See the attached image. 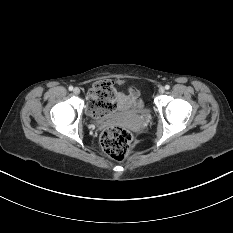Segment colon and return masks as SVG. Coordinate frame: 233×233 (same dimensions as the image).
Here are the masks:
<instances>
[{
  "label": "colon",
  "mask_w": 233,
  "mask_h": 233,
  "mask_svg": "<svg viewBox=\"0 0 233 233\" xmlns=\"http://www.w3.org/2000/svg\"><path fill=\"white\" fill-rule=\"evenodd\" d=\"M116 90L110 81L97 82L88 101V109L94 116L110 114L117 108ZM100 143L105 153L117 161L129 156L132 150V134L122 126H111L100 136Z\"/></svg>",
  "instance_id": "obj_1"
}]
</instances>
